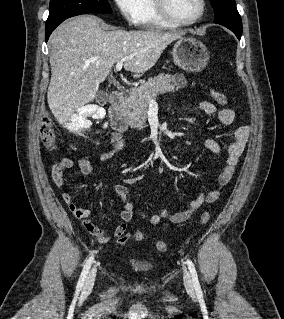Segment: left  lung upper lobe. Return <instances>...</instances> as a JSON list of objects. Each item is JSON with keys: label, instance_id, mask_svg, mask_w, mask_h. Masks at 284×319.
I'll use <instances>...</instances> for the list:
<instances>
[{"label": "left lung upper lobe", "instance_id": "left-lung-upper-lobe-1", "mask_svg": "<svg viewBox=\"0 0 284 319\" xmlns=\"http://www.w3.org/2000/svg\"><path fill=\"white\" fill-rule=\"evenodd\" d=\"M210 2L215 12V23H226L242 27L235 0H210Z\"/></svg>", "mask_w": 284, "mask_h": 319}]
</instances>
